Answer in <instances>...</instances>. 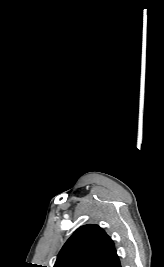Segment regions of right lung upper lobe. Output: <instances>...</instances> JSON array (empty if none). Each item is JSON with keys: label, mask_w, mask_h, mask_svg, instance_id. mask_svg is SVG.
I'll return each instance as SVG.
<instances>
[{"label": "right lung upper lobe", "mask_w": 164, "mask_h": 267, "mask_svg": "<svg viewBox=\"0 0 164 267\" xmlns=\"http://www.w3.org/2000/svg\"><path fill=\"white\" fill-rule=\"evenodd\" d=\"M115 254L114 243L102 228L85 225L64 244L54 267H100Z\"/></svg>", "instance_id": "obj_1"}]
</instances>
